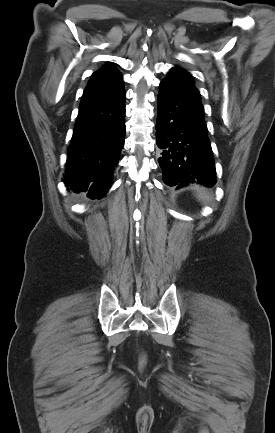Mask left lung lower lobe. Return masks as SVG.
Instances as JSON below:
<instances>
[{
    "label": "left lung lower lobe",
    "instance_id": "obj_1",
    "mask_svg": "<svg viewBox=\"0 0 275 433\" xmlns=\"http://www.w3.org/2000/svg\"><path fill=\"white\" fill-rule=\"evenodd\" d=\"M157 96L156 143L164 183L216 184L213 152L197 88L174 78L161 81Z\"/></svg>",
    "mask_w": 275,
    "mask_h": 433
}]
</instances>
